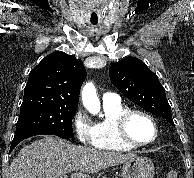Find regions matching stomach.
<instances>
[{
	"instance_id": "stomach-1",
	"label": "stomach",
	"mask_w": 194,
	"mask_h": 178,
	"mask_svg": "<svg viewBox=\"0 0 194 178\" xmlns=\"http://www.w3.org/2000/svg\"><path fill=\"white\" fill-rule=\"evenodd\" d=\"M122 178H153V162L146 157H135L123 164Z\"/></svg>"
}]
</instances>
